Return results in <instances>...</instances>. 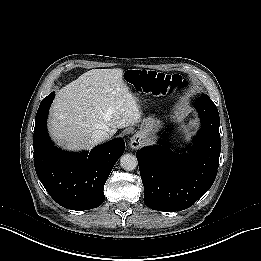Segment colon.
<instances>
[{
    "mask_svg": "<svg viewBox=\"0 0 261 261\" xmlns=\"http://www.w3.org/2000/svg\"><path fill=\"white\" fill-rule=\"evenodd\" d=\"M135 82L143 91L154 96L172 95L180 79L176 76L165 75L155 71L136 70L133 72Z\"/></svg>",
    "mask_w": 261,
    "mask_h": 261,
    "instance_id": "colon-1",
    "label": "colon"
}]
</instances>
